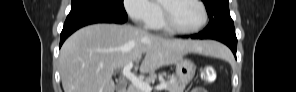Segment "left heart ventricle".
<instances>
[{
  "label": "left heart ventricle",
  "instance_id": "obj_1",
  "mask_svg": "<svg viewBox=\"0 0 296 92\" xmlns=\"http://www.w3.org/2000/svg\"><path fill=\"white\" fill-rule=\"evenodd\" d=\"M169 12L172 21L182 29H193L202 21L201 8L191 0L173 2Z\"/></svg>",
  "mask_w": 296,
  "mask_h": 92
}]
</instances>
